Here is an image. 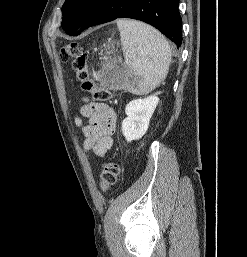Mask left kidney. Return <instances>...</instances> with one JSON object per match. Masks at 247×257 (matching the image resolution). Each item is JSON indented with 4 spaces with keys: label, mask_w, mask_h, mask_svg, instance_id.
I'll list each match as a JSON object with an SVG mask.
<instances>
[{
    "label": "left kidney",
    "mask_w": 247,
    "mask_h": 257,
    "mask_svg": "<svg viewBox=\"0 0 247 257\" xmlns=\"http://www.w3.org/2000/svg\"><path fill=\"white\" fill-rule=\"evenodd\" d=\"M158 94L160 92L143 99H134L126 105L127 117L122 122V133L127 142L138 140L147 132L150 119L159 102Z\"/></svg>",
    "instance_id": "1"
}]
</instances>
